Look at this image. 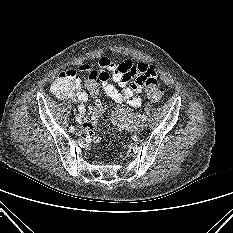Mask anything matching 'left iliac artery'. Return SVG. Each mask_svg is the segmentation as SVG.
<instances>
[{
	"mask_svg": "<svg viewBox=\"0 0 233 233\" xmlns=\"http://www.w3.org/2000/svg\"><path fill=\"white\" fill-rule=\"evenodd\" d=\"M141 119H142V121H146V119H147L146 115H142Z\"/></svg>",
	"mask_w": 233,
	"mask_h": 233,
	"instance_id": "1",
	"label": "left iliac artery"
}]
</instances>
